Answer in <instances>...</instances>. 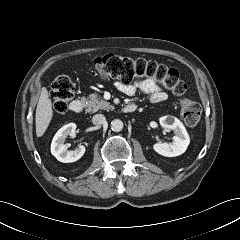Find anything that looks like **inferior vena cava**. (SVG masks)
<instances>
[{
	"mask_svg": "<svg viewBox=\"0 0 240 240\" xmlns=\"http://www.w3.org/2000/svg\"><path fill=\"white\" fill-rule=\"evenodd\" d=\"M106 122L105 116L102 114H96L92 117V123L94 125H101Z\"/></svg>",
	"mask_w": 240,
	"mask_h": 240,
	"instance_id": "inferior-vena-cava-1",
	"label": "inferior vena cava"
}]
</instances>
